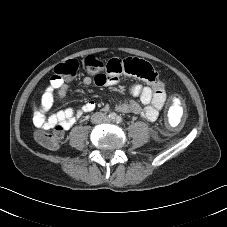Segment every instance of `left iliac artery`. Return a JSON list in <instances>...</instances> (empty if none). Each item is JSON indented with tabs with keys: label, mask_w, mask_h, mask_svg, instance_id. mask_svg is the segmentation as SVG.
<instances>
[{
	"label": "left iliac artery",
	"mask_w": 227,
	"mask_h": 227,
	"mask_svg": "<svg viewBox=\"0 0 227 227\" xmlns=\"http://www.w3.org/2000/svg\"><path fill=\"white\" fill-rule=\"evenodd\" d=\"M123 121V118L121 116L116 117V122L121 123Z\"/></svg>",
	"instance_id": "44dca946"
}]
</instances>
